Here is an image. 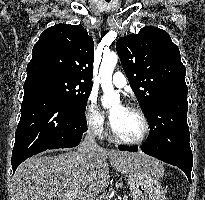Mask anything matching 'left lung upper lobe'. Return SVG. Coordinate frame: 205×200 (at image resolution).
I'll use <instances>...</instances> for the list:
<instances>
[{
  "mask_svg": "<svg viewBox=\"0 0 205 200\" xmlns=\"http://www.w3.org/2000/svg\"><path fill=\"white\" fill-rule=\"evenodd\" d=\"M116 49L149 126L155 120L163 121L161 115L156 116L158 103L188 92L186 69L178 47L167 32L149 26L142 28L139 34L118 39Z\"/></svg>",
  "mask_w": 205,
  "mask_h": 200,
  "instance_id": "5c2ea615",
  "label": "left lung upper lobe"
}]
</instances>
